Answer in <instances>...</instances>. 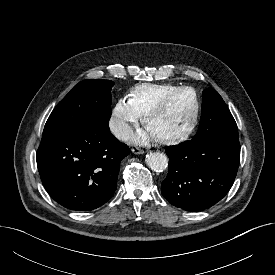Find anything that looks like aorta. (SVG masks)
I'll use <instances>...</instances> for the list:
<instances>
[{
    "label": "aorta",
    "instance_id": "762f6f07",
    "mask_svg": "<svg viewBox=\"0 0 275 275\" xmlns=\"http://www.w3.org/2000/svg\"><path fill=\"white\" fill-rule=\"evenodd\" d=\"M147 166L156 172H162L166 170L168 166V158L161 152H149L146 155Z\"/></svg>",
    "mask_w": 275,
    "mask_h": 275
}]
</instances>
